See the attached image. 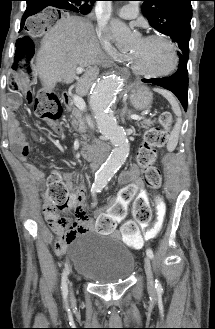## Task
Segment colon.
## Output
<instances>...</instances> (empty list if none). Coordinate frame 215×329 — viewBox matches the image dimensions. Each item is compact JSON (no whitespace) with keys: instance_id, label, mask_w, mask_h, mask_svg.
I'll return each instance as SVG.
<instances>
[{"instance_id":"obj_1","label":"colon","mask_w":215,"mask_h":329,"mask_svg":"<svg viewBox=\"0 0 215 329\" xmlns=\"http://www.w3.org/2000/svg\"><path fill=\"white\" fill-rule=\"evenodd\" d=\"M31 18L27 21L28 25L23 27L26 36L17 37L19 55H13V61L7 62L10 73H28L30 62L34 56V44H38V38H51V26H56V21H67V14H32ZM11 80L9 81V92H7V99H9L6 104L7 109H22V103H26L27 97L29 101L34 103V111L38 118L51 122L59 121L61 113L55 94L41 92L34 96L31 91L27 90V74H12ZM171 123V113L162 112L159 117L160 125L150 129L145 134L144 144L138 152V163L143 170L144 181L147 187L154 191L158 190L162 183L161 172L155 166L157 150L166 144ZM85 198L83 188L73 191L60 174L52 173L49 176L45 199L54 212L73 210L78 216L82 212ZM147 201L149 200L147 199ZM154 204L152 211L156 222L153 226L141 233V227L146 226L151 218H134L135 222H126L122 227V235L125 239L134 240L137 237H142L145 240H151L160 233L163 221L167 220L169 208L164 206L163 199L159 195L154 198ZM74 226L73 222L64 218L51 226L58 235V244L68 242L69 233Z\"/></svg>"}]
</instances>
